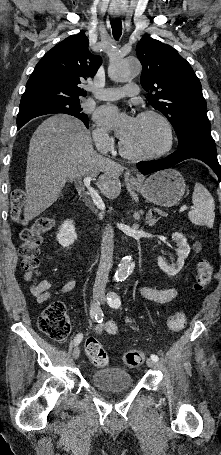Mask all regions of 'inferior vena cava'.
Listing matches in <instances>:
<instances>
[{"label": "inferior vena cava", "instance_id": "602c4592", "mask_svg": "<svg viewBox=\"0 0 221 455\" xmlns=\"http://www.w3.org/2000/svg\"><path fill=\"white\" fill-rule=\"evenodd\" d=\"M113 248L114 232L112 227L107 224L102 235L101 258L94 285L96 288H105L106 286L109 271L113 263Z\"/></svg>", "mask_w": 221, "mask_h": 455}]
</instances>
